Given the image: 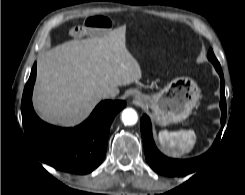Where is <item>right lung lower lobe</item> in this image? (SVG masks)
Wrapping results in <instances>:
<instances>
[{"label": "right lung lower lobe", "instance_id": "obj_1", "mask_svg": "<svg viewBox=\"0 0 245 195\" xmlns=\"http://www.w3.org/2000/svg\"><path fill=\"white\" fill-rule=\"evenodd\" d=\"M36 63L25 85L21 111L27 142L42 162L67 173L87 174L102 162L110 125L125 101H102L90 117L74 128H58L38 118L32 106Z\"/></svg>", "mask_w": 245, "mask_h": 195}]
</instances>
